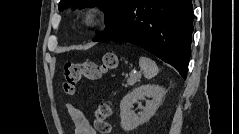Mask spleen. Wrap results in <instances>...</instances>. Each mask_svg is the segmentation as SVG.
Wrapping results in <instances>:
<instances>
[{
  "mask_svg": "<svg viewBox=\"0 0 239 134\" xmlns=\"http://www.w3.org/2000/svg\"><path fill=\"white\" fill-rule=\"evenodd\" d=\"M139 66L147 79H151L158 74V66L150 58L141 56L139 58Z\"/></svg>",
  "mask_w": 239,
  "mask_h": 134,
  "instance_id": "obj_1",
  "label": "spleen"
}]
</instances>
